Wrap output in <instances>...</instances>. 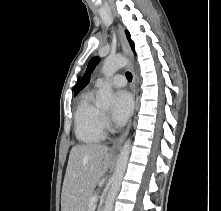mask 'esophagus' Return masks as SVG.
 <instances>
[{"mask_svg":"<svg viewBox=\"0 0 221 211\" xmlns=\"http://www.w3.org/2000/svg\"><path fill=\"white\" fill-rule=\"evenodd\" d=\"M118 34H119V40H120L122 51H123L124 55L128 58L129 68H130V70L132 72V76H133L132 92H133V97H134V110H135V108H136V74H135V70L133 67V55H132V52H131L130 47L128 45V42L126 40L124 30L121 26L118 27ZM131 123H132V119H130L125 131L114 141L112 148H111L112 151H117L121 147V145L123 144L124 140L126 139L128 133H129Z\"/></svg>","mask_w":221,"mask_h":211,"instance_id":"esophagus-1","label":"esophagus"}]
</instances>
